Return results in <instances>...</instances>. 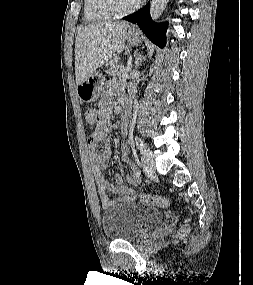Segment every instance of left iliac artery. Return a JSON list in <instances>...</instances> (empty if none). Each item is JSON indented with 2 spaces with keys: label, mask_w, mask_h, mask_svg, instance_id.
I'll list each match as a JSON object with an SVG mask.
<instances>
[{
  "label": "left iliac artery",
  "mask_w": 253,
  "mask_h": 285,
  "mask_svg": "<svg viewBox=\"0 0 253 285\" xmlns=\"http://www.w3.org/2000/svg\"><path fill=\"white\" fill-rule=\"evenodd\" d=\"M135 142H136V146L137 148L142 152L144 153L145 150H146V145L145 143L142 141V139L138 136L135 137Z\"/></svg>",
  "instance_id": "obj_1"
}]
</instances>
